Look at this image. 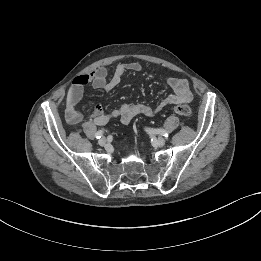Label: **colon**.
Segmentation results:
<instances>
[{
  "instance_id": "colon-1",
  "label": "colon",
  "mask_w": 261,
  "mask_h": 261,
  "mask_svg": "<svg viewBox=\"0 0 261 261\" xmlns=\"http://www.w3.org/2000/svg\"><path fill=\"white\" fill-rule=\"evenodd\" d=\"M174 112L183 117H190L192 115V108L186 104H179L174 107Z\"/></svg>"
}]
</instances>
